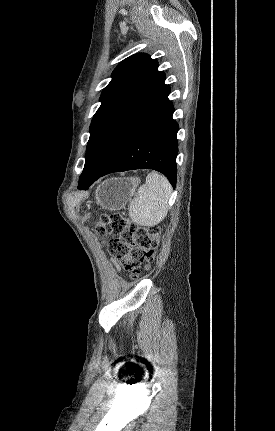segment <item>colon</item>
<instances>
[{"instance_id":"obj_1","label":"colon","mask_w":275,"mask_h":431,"mask_svg":"<svg viewBox=\"0 0 275 431\" xmlns=\"http://www.w3.org/2000/svg\"><path fill=\"white\" fill-rule=\"evenodd\" d=\"M96 231L116 236L108 242L109 253L120 260L133 278L138 277L142 265L154 260L161 234L157 226H139L119 214L103 215Z\"/></svg>"}]
</instances>
